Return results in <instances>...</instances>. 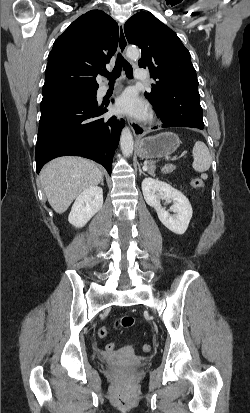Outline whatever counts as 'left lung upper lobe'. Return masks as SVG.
<instances>
[{
	"label": "left lung upper lobe",
	"instance_id": "5c2ea615",
	"mask_svg": "<svg viewBox=\"0 0 250 413\" xmlns=\"http://www.w3.org/2000/svg\"><path fill=\"white\" fill-rule=\"evenodd\" d=\"M130 44L137 45L142 56L139 66L149 69L156 81L151 92L155 98H170L173 91L189 86L198 89L191 55L176 33L148 12L133 15L124 26Z\"/></svg>",
	"mask_w": 250,
	"mask_h": 413
}]
</instances>
